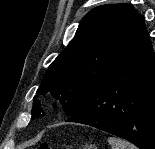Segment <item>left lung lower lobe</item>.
<instances>
[{
	"instance_id": "left-lung-lower-lobe-1",
	"label": "left lung lower lobe",
	"mask_w": 155,
	"mask_h": 149,
	"mask_svg": "<svg viewBox=\"0 0 155 149\" xmlns=\"http://www.w3.org/2000/svg\"><path fill=\"white\" fill-rule=\"evenodd\" d=\"M66 121L94 126L139 149H155V54L144 17Z\"/></svg>"
}]
</instances>
